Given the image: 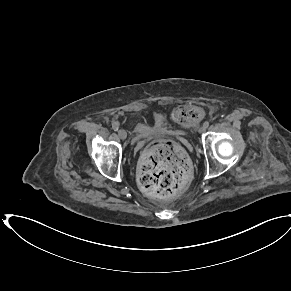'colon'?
Masks as SVG:
<instances>
[{"label": "colon", "instance_id": "colon-1", "mask_svg": "<svg viewBox=\"0 0 291 291\" xmlns=\"http://www.w3.org/2000/svg\"><path fill=\"white\" fill-rule=\"evenodd\" d=\"M172 119L181 126L199 122L203 113L196 105H184L172 111ZM190 168L182 149L172 142L151 144L142 156L138 183L152 196L165 198L179 193L188 183Z\"/></svg>", "mask_w": 291, "mask_h": 291}]
</instances>
